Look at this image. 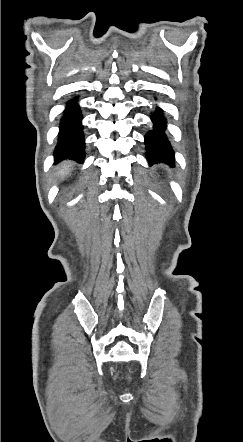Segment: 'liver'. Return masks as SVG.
I'll list each match as a JSON object with an SVG mask.
<instances>
[{
    "label": "liver",
    "mask_w": 243,
    "mask_h": 442,
    "mask_svg": "<svg viewBox=\"0 0 243 442\" xmlns=\"http://www.w3.org/2000/svg\"><path fill=\"white\" fill-rule=\"evenodd\" d=\"M70 166L71 162L69 161L62 163L61 166L57 169V175L61 178H64L70 172Z\"/></svg>",
    "instance_id": "1"
}]
</instances>
